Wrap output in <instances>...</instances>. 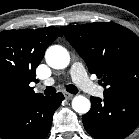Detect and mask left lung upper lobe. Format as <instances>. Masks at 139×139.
<instances>
[{
	"mask_svg": "<svg viewBox=\"0 0 139 139\" xmlns=\"http://www.w3.org/2000/svg\"><path fill=\"white\" fill-rule=\"evenodd\" d=\"M66 39L112 98L139 90V38L112 22L61 27Z\"/></svg>",
	"mask_w": 139,
	"mask_h": 139,
	"instance_id": "obj_1",
	"label": "left lung upper lobe"
}]
</instances>
